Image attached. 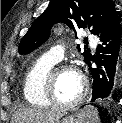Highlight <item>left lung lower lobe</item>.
Wrapping results in <instances>:
<instances>
[{
    "label": "left lung lower lobe",
    "instance_id": "obj_1",
    "mask_svg": "<svg viewBox=\"0 0 122 123\" xmlns=\"http://www.w3.org/2000/svg\"><path fill=\"white\" fill-rule=\"evenodd\" d=\"M98 37L102 43L97 47V55L86 63L91 66L95 62L98 66L90 68L93 76L91 101L113 99L122 81V28L117 14Z\"/></svg>",
    "mask_w": 122,
    "mask_h": 123
}]
</instances>
